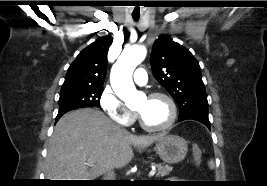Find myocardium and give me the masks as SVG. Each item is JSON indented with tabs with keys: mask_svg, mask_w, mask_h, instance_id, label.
Here are the masks:
<instances>
[{
	"mask_svg": "<svg viewBox=\"0 0 267 186\" xmlns=\"http://www.w3.org/2000/svg\"><path fill=\"white\" fill-rule=\"evenodd\" d=\"M148 98H163V99H165L167 101L169 107H170V116H169L167 122L165 124H163L162 126L152 127V126L147 125L143 121L141 115L138 112H136V116H137L138 123H139L140 127L143 130L148 131V132H162V131H165V130L169 129L170 127H172V125L175 123V121L177 119V115H178L177 106H176L174 99L170 95H168L167 93L159 92V91L150 93L148 95Z\"/></svg>",
	"mask_w": 267,
	"mask_h": 186,
	"instance_id": "obj_1",
	"label": "myocardium"
}]
</instances>
